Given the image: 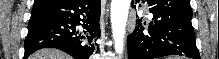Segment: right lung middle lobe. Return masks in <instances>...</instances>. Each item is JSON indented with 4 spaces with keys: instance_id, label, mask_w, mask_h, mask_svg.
<instances>
[{
    "instance_id": "1",
    "label": "right lung middle lobe",
    "mask_w": 219,
    "mask_h": 59,
    "mask_svg": "<svg viewBox=\"0 0 219 59\" xmlns=\"http://www.w3.org/2000/svg\"><path fill=\"white\" fill-rule=\"evenodd\" d=\"M44 18H45V17L42 16V15L31 16L29 23L38 22V21L43 20Z\"/></svg>"
}]
</instances>
